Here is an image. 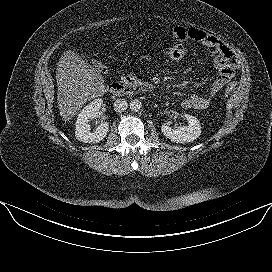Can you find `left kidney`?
<instances>
[{
    "mask_svg": "<svg viewBox=\"0 0 272 272\" xmlns=\"http://www.w3.org/2000/svg\"><path fill=\"white\" fill-rule=\"evenodd\" d=\"M188 125L179 126L177 128L170 127L169 123H163L161 126V131L166 136L175 143H189L196 140L201 134V126L199 120L189 114L185 115Z\"/></svg>",
    "mask_w": 272,
    "mask_h": 272,
    "instance_id": "5707ae66",
    "label": "left kidney"
}]
</instances>
